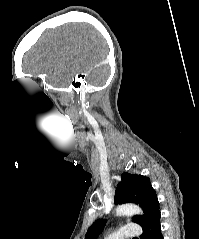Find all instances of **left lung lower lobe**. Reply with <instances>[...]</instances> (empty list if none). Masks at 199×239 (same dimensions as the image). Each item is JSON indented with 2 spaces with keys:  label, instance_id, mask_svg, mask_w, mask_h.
Wrapping results in <instances>:
<instances>
[{
  "label": "left lung lower lobe",
  "instance_id": "1",
  "mask_svg": "<svg viewBox=\"0 0 199 239\" xmlns=\"http://www.w3.org/2000/svg\"><path fill=\"white\" fill-rule=\"evenodd\" d=\"M144 234L140 239H163L160 225V211H158L143 227Z\"/></svg>",
  "mask_w": 199,
  "mask_h": 239
}]
</instances>
